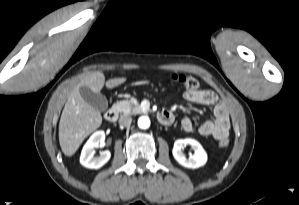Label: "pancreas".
Segmentation results:
<instances>
[{"label": "pancreas", "mask_w": 299, "mask_h": 205, "mask_svg": "<svg viewBox=\"0 0 299 205\" xmlns=\"http://www.w3.org/2000/svg\"><path fill=\"white\" fill-rule=\"evenodd\" d=\"M114 107L124 115H136L145 112L135 98H132L131 100L119 101L114 105Z\"/></svg>", "instance_id": "cf45deb5"}]
</instances>
